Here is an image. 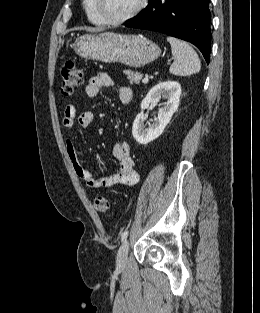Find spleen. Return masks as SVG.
Here are the masks:
<instances>
[{
    "instance_id": "3e777b00",
    "label": "spleen",
    "mask_w": 260,
    "mask_h": 313,
    "mask_svg": "<svg viewBox=\"0 0 260 313\" xmlns=\"http://www.w3.org/2000/svg\"><path fill=\"white\" fill-rule=\"evenodd\" d=\"M171 45L174 62L170 66V73L176 76H189L198 73L201 62L194 49L185 41L174 37H167Z\"/></svg>"
}]
</instances>
